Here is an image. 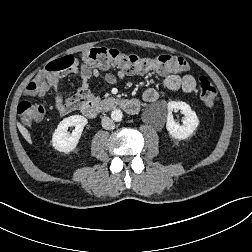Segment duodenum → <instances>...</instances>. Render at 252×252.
Masks as SVG:
<instances>
[{"mask_svg": "<svg viewBox=\"0 0 252 252\" xmlns=\"http://www.w3.org/2000/svg\"><path fill=\"white\" fill-rule=\"evenodd\" d=\"M112 108H122L129 114H135L139 111L140 101L138 99H109L103 102L85 101L81 105L82 113L90 118Z\"/></svg>", "mask_w": 252, "mask_h": 252, "instance_id": "duodenum-1", "label": "duodenum"}]
</instances>
